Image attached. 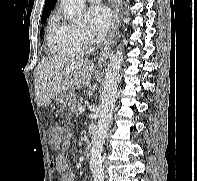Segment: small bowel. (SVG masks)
Here are the masks:
<instances>
[{"instance_id": "small-bowel-1", "label": "small bowel", "mask_w": 197, "mask_h": 181, "mask_svg": "<svg viewBox=\"0 0 197 181\" xmlns=\"http://www.w3.org/2000/svg\"><path fill=\"white\" fill-rule=\"evenodd\" d=\"M55 170L60 173V181H75V175L70 169L69 163L66 160L64 153L60 152L54 160Z\"/></svg>"}]
</instances>
